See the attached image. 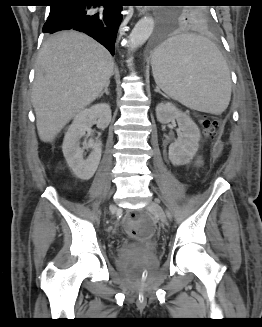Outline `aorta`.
Wrapping results in <instances>:
<instances>
[{"label":"aorta","instance_id":"1","mask_svg":"<svg viewBox=\"0 0 262 327\" xmlns=\"http://www.w3.org/2000/svg\"><path fill=\"white\" fill-rule=\"evenodd\" d=\"M154 29V20L150 16L141 18L129 35V51L141 47L151 36Z\"/></svg>","mask_w":262,"mask_h":327}]
</instances>
